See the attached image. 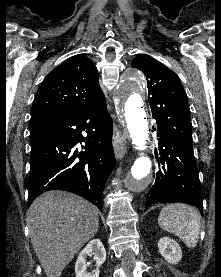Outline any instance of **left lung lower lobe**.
Wrapping results in <instances>:
<instances>
[{"label":"left lung lower lobe","mask_w":221,"mask_h":277,"mask_svg":"<svg viewBox=\"0 0 221 277\" xmlns=\"http://www.w3.org/2000/svg\"><path fill=\"white\" fill-rule=\"evenodd\" d=\"M157 131L159 170L147 194L145 210L155 202H183L198 207L203 214V195L192 147L159 126Z\"/></svg>","instance_id":"0a47b994"}]
</instances>
